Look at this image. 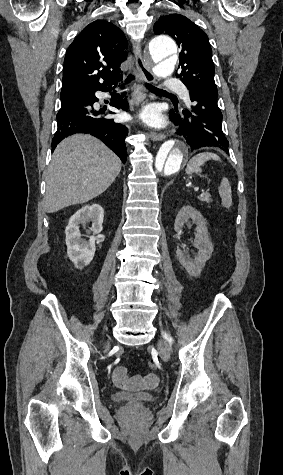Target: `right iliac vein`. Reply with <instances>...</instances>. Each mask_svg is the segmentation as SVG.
<instances>
[{
  "instance_id": "right-iliac-vein-1",
  "label": "right iliac vein",
  "mask_w": 283,
  "mask_h": 475,
  "mask_svg": "<svg viewBox=\"0 0 283 475\" xmlns=\"http://www.w3.org/2000/svg\"><path fill=\"white\" fill-rule=\"evenodd\" d=\"M105 350H106V351L109 350V346H106V347H105Z\"/></svg>"
}]
</instances>
